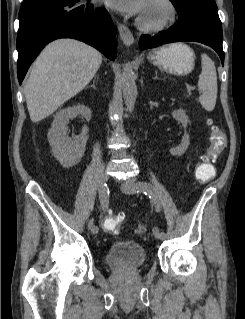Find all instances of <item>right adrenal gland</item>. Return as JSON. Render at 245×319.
Wrapping results in <instances>:
<instances>
[{
    "instance_id": "obj_1",
    "label": "right adrenal gland",
    "mask_w": 245,
    "mask_h": 319,
    "mask_svg": "<svg viewBox=\"0 0 245 319\" xmlns=\"http://www.w3.org/2000/svg\"><path fill=\"white\" fill-rule=\"evenodd\" d=\"M97 75H95L94 80H93V84L90 87H93L94 89H96L95 87V81H96Z\"/></svg>"
}]
</instances>
